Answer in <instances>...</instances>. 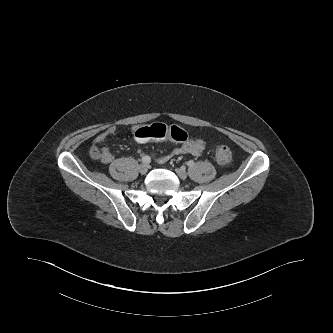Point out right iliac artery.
I'll return each mask as SVG.
<instances>
[{
	"label": "right iliac artery",
	"mask_w": 333,
	"mask_h": 333,
	"mask_svg": "<svg viewBox=\"0 0 333 333\" xmlns=\"http://www.w3.org/2000/svg\"><path fill=\"white\" fill-rule=\"evenodd\" d=\"M142 162L145 164H149L151 162V158L149 156H143L142 157Z\"/></svg>",
	"instance_id": "82829eb1"
}]
</instances>
